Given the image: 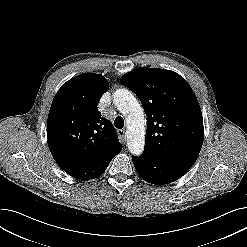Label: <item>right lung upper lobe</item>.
Wrapping results in <instances>:
<instances>
[{"label":"right lung upper lobe","mask_w":247,"mask_h":247,"mask_svg":"<svg viewBox=\"0 0 247 247\" xmlns=\"http://www.w3.org/2000/svg\"><path fill=\"white\" fill-rule=\"evenodd\" d=\"M108 88L103 76L84 73L66 82L55 95L47 120V141L59 165H91L121 151L111 121L97 108Z\"/></svg>","instance_id":"1"}]
</instances>
